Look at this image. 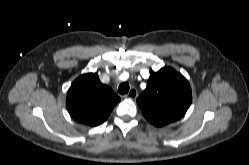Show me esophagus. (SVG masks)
I'll list each match as a JSON object with an SVG mask.
<instances>
[{
    "label": "esophagus",
    "instance_id": "34e87169",
    "mask_svg": "<svg viewBox=\"0 0 249 165\" xmlns=\"http://www.w3.org/2000/svg\"><path fill=\"white\" fill-rule=\"evenodd\" d=\"M138 96V92L135 88H132L128 94L126 95V97L131 98V99H135Z\"/></svg>",
    "mask_w": 249,
    "mask_h": 165
}]
</instances>
